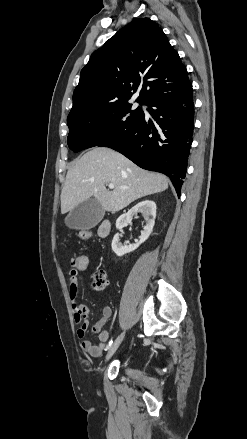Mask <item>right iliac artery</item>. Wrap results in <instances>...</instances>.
Here are the masks:
<instances>
[{"label": "right iliac artery", "mask_w": 247, "mask_h": 439, "mask_svg": "<svg viewBox=\"0 0 247 439\" xmlns=\"http://www.w3.org/2000/svg\"><path fill=\"white\" fill-rule=\"evenodd\" d=\"M111 345H112V340L109 341L108 345L106 346V350L109 349Z\"/></svg>", "instance_id": "82829eb1"}]
</instances>
